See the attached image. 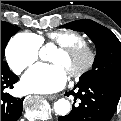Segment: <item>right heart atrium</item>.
I'll list each match as a JSON object with an SVG mask.
<instances>
[{"label": "right heart atrium", "mask_w": 121, "mask_h": 121, "mask_svg": "<svg viewBox=\"0 0 121 121\" xmlns=\"http://www.w3.org/2000/svg\"><path fill=\"white\" fill-rule=\"evenodd\" d=\"M40 42L32 35H14L6 47V59L10 68L20 73L38 59Z\"/></svg>", "instance_id": "d8ad5b80"}]
</instances>
